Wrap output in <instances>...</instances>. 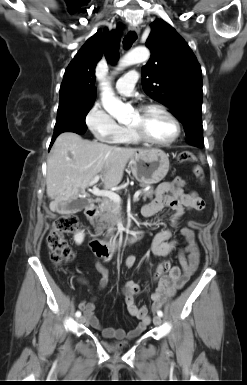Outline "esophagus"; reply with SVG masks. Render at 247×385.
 Wrapping results in <instances>:
<instances>
[{
  "mask_svg": "<svg viewBox=\"0 0 247 385\" xmlns=\"http://www.w3.org/2000/svg\"><path fill=\"white\" fill-rule=\"evenodd\" d=\"M130 31H134L135 33L139 34L140 33V28L136 25H131L129 26Z\"/></svg>",
  "mask_w": 247,
  "mask_h": 385,
  "instance_id": "obj_1",
  "label": "esophagus"
}]
</instances>
